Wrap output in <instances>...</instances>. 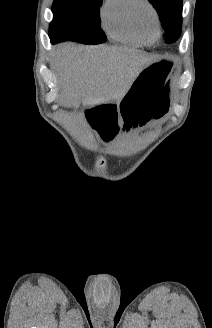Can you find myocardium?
Masks as SVG:
<instances>
[{"instance_id":"obj_1","label":"myocardium","mask_w":212,"mask_h":328,"mask_svg":"<svg viewBox=\"0 0 212 328\" xmlns=\"http://www.w3.org/2000/svg\"><path fill=\"white\" fill-rule=\"evenodd\" d=\"M142 8H147L153 17V22H154V30L158 33H160V18H159V14L158 11L156 10V8L154 7V5L149 1V0H135V4L133 5L132 8V16L134 19V22L137 26V28L142 32H148L146 29V26L140 16V10Z\"/></svg>"}]
</instances>
